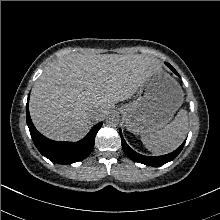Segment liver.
Instances as JSON below:
<instances>
[{"label":"liver","mask_w":220,"mask_h":220,"mask_svg":"<svg viewBox=\"0 0 220 220\" xmlns=\"http://www.w3.org/2000/svg\"><path fill=\"white\" fill-rule=\"evenodd\" d=\"M160 68L158 60L143 54L62 57L47 66L36 81L29 102L31 119L50 139L79 140ZM93 110L98 114L92 116Z\"/></svg>","instance_id":"6515ba94"}]
</instances>
